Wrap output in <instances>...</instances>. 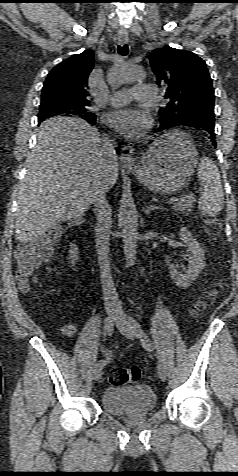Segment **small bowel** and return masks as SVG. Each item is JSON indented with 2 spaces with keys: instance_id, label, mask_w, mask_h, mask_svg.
Listing matches in <instances>:
<instances>
[{
  "instance_id": "1",
  "label": "small bowel",
  "mask_w": 238,
  "mask_h": 476,
  "mask_svg": "<svg viewBox=\"0 0 238 476\" xmlns=\"http://www.w3.org/2000/svg\"><path fill=\"white\" fill-rule=\"evenodd\" d=\"M64 330L68 335H73L76 330V326L74 323H69L65 326Z\"/></svg>"
}]
</instances>
